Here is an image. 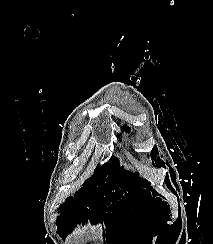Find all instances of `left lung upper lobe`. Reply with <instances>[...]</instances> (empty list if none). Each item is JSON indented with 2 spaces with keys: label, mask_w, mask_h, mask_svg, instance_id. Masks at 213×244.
Segmentation results:
<instances>
[{
  "label": "left lung upper lobe",
  "mask_w": 213,
  "mask_h": 244,
  "mask_svg": "<svg viewBox=\"0 0 213 244\" xmlns=\"http://www.w3.org/2000/svg\"><path fill=\"white\" fill-rule=\"evenodd\" d=\"M123 129H124L125 131H127V132L130 131L129 127H127L126 125L123 126Z\"/></svg>",
  "instance_id": "5c2ea615"
}]
</instances>
